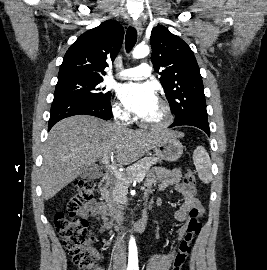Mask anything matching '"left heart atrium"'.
<instances>
[{
	"label": "left heart atrium",
	"instance_id": "obj_1",
	"mask_svg": "<svg viewBox=\"0 0 267 270\" xmlns=\"http://www.w3.org/2000/svg\"><path fill=\"white\" fill-rule=\"evenodd\" d=\"M118 93L124 105L139 117L145 116L158 102L154 89L149 84H123Z\"/></svg>",
	"mask_w": 267,
	"mask_h": 270
}]
</instances>
